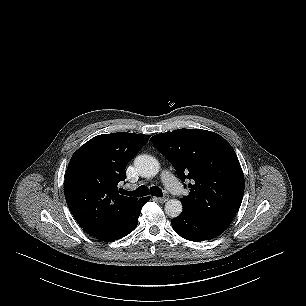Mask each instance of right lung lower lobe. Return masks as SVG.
Instances as JSON below:
<instances>
[{
    "label": "right lung lower lobe",
    "mask_w": 306,
    "mask_h": 306,
    "mask_svg": "<svg viewBox=\"0 0 306 306\" xmlns=\"http://www.w3.org/2000/svg\"><path fill=\"white\" fill-rule=\"evenodd\" d=\"M148 200L149 197L141 198L140 201L133 207L131 214L124 222V224L115 233H113L103 241H115L128 235L131 231H133L137 226L138 217L140 215L141 209Z\"/></svg>",
    "instance_id": "obj_1"
}]
</instances>
